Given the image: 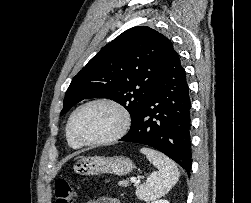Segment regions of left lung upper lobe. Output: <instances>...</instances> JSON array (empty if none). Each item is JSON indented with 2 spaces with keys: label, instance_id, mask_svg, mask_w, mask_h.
<instances>
[{
  "label": "left lung upper lobe",
  "instance_id": "5c2ea615",
  "mask_svg": "<svg viewBox=\"0 0 251 203\" xmlns=\"http://www.w3.org/2000/svg\"><path fill=\"white\" fill-rule=\"evenodd\" d=\"M173 52L171 41L150 27L126 30L72 79L61 115L84 99L103 97L123 105L132 126Z\"/></svg>",
  "mask_w": 251,
  "mask_h": 203
}]
</instances>
